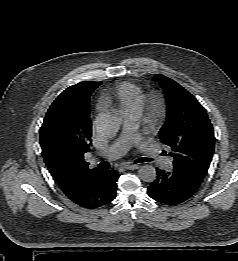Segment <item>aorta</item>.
<instances>
[{
  "label": "aorta",
  "instance_id": "aorta-1",
  "mask_svg": "<svg viewBox=\"0 0 238 261\" xmlns=\"http://www.w3.org/2000/svg\"><path fill=\"white\" fill-rule=\"evenodd\" d=\"M122 123L121 117L115 112L100 114L96 120V131L104 137L114 136ZM139 178L144 182H153L156 179V170L152 165L146 164L138 170Z\"/></svg>",
  "mask_w": 238,
  "mask_h": 261
}]
</instances>
